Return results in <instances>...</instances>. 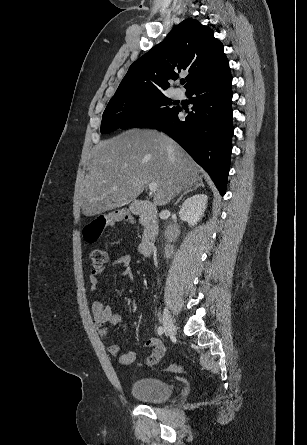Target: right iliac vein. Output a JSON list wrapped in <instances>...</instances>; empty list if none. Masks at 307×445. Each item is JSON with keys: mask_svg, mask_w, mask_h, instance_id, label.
Instances as JSON below:
<instances>
[{"mask_svg": "<svg viewBox=\"0 0 307 445\" xmlns=\"http://www.w3.org/2000/svg\"><path fill=\"white\" fill-rule=\"evenodd\" d=\"M163 328L166 335H170L174 331L172 315L167 307L164 308L163 312Z\"/></svg>", "mask_w": 307, "mask_h": 445, "instance_id": "obj_1", "label": "right iliac vein"}]
</instances>
